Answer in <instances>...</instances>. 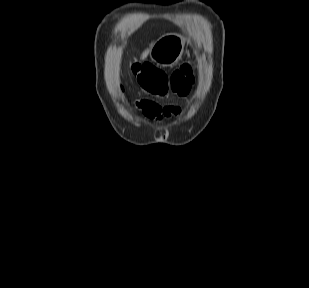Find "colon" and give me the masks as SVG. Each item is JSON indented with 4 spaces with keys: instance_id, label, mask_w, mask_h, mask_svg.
Wrapping results in <instances>:
<instances>
[{
    "instance_id": "5ec220e1",
    "label": "colon",
    "mask_w": 309,
    "mask_h": 288,
    "mask_svg": "<svg viewBox=\"0 0 309 288\" xmlns=\"http://www.w3.org/2000/svg\"><path fill=\"white\" fill-rule=\"evenodd\" d=\"M140 83L155 95L163 96L171 92L184 96L195 83V75L190 64L182 65L171 75H167L154 66H149L141 73Z\"/></svg>"
}]
</instances>
